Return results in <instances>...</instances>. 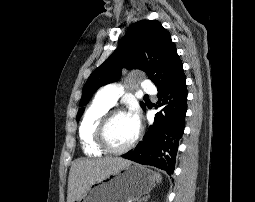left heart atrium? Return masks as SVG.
Segmentation results:
<instances>
[{
  "instance_id": "left-heart-atrium-1",
  "label": "left heart atrium",
  "mask_w": 255,
  "mask_h": 202,
  "mask_svg": "<svg viewBox=\"0 0 255 202\" xmlns=\"http://www.w3.org/2000/svg\"><path fill=\"white\" fill-rule=\"evenodd\" d=\"M127 116L129 117V119L131 120V122L137 127L139 128L140 126V116H139V111L135 106H132L128 113Z\"/></svg>"
}]
</instances>
